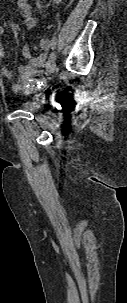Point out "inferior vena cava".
<instances>
[{"instance_id": "1", "label": "inferior vena cava", "mask_w": 127, "mask_h": 303, "mask_svg": "<svg viewBox=\"0 0 127 303\" xmlns=\"http://www.w3.org/2000/svg\"><path fill=\"white\" fill-rule=\"evenodd\" d=\"M55 3H59L61 2L62 0H53Z\"/></svg>"}]
</instances>
